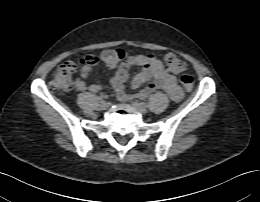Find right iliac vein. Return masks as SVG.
<instances>
[{"label": "right iliac vein", "instance_id": "obj_1", "mask_svg": "<svg viewBox=\"0 0 260 202\" xmlns=\"http://www.w3.org/2000/svg\"><path fill=\"white\" fill-rule=\"evenodd\" d=\"M99 106H100L101 110H106L108 107V104L105 101H101Z\"/></svg>", "mask_w": 260, "mask_h": 202}]
</instances>
